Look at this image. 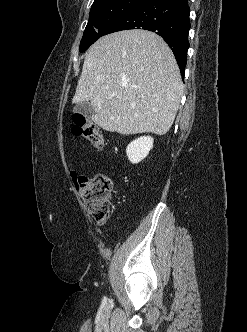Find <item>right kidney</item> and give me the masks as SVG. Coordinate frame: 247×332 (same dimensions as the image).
Returning a JSON list of instances; mask_svg holds the SVG:
<instances>
[{"instance_id":"right-kidney-1","label":"right kidney","mask_w":247,"mask_h":332,"mask_svg":"<svg viewBox=\"0 0 247 332\" xmlns=\"http://www.w3.org/2000/svg\"><path fill=\"white\" fill-rule=\"evenodd\" d=\"M154 139L150 136H142L133 140L126 148V154L131 163L137 164L147 157L153 148Z\"/></svg>"}]
</instances>
